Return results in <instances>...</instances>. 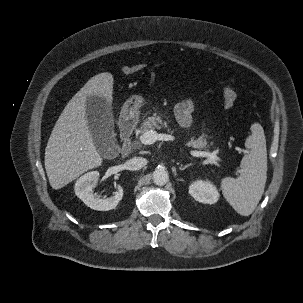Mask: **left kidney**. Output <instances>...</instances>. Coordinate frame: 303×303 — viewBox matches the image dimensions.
I'll return each mask as SVG.
<instances>
[{"mask_svg": "<svg viewBox=\"0 0 303 303\" xmlns=\"http://www.w3.org/2000/svg\"><path fill=\"white\" fill-rule=\"evenodd\" d=\"M190 195L198 202L214 204L219 199V192L215 185L208 180H197L189 186Z\"/></svg>", "mask_w": 303, "mask_h": 303, "instance_id": "obj_1", "label": "left kidney"}]
</instances>
